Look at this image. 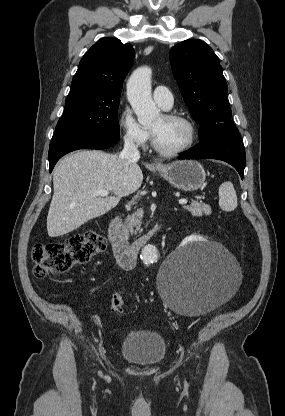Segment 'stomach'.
I'll list each match as a JSON object with an SVG mask.
<instances>
[{
    "label": "stomach",
    "instance_id": "stomach-1",
    "mask_svg": "<svg viewBox=\"0 0 285 416\" xmlns=\"http://www.w3.org/2000/svg\"><path fill=\"white\" fill-rule=\"evenodd\" d=\"M157 172L174 188L183 192H195L203 186L206 178L204 168L194 160H178L172 164H158Z\"/></svg>",
    "mask_w": 285,
    "mask_h": 416
}]
</instances>
